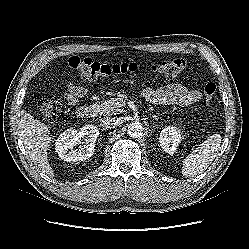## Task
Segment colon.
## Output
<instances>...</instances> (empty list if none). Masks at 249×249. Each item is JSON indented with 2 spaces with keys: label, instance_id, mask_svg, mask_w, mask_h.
Masks as SVG:
<instances>
[{
  "label": "colon",
  "instance_id": "obj_1",
  "mask_svg": "<svg viewBox=\"0 0 249 249\" xmlns=\"http://www.w3.org/2000/svg\"><path fill=\"white\" fill-rule=\"evenodd\" d=\"M68 64L84 79L94 81L114 75L136 74L144 71L152 72L166 79H172L186 68L187 61L183 58H175L146 66L137 62L106 64L89 57L72 56L68 59ZM216 89V84L213 82L204 86L203 92L208 104L212 103ZM38 105L42 115L49 122H55L62 110V103L58 100L41 99Z\"/></svg>",
  "mask_w": 249,
  "mask_h": 249
}]
</instances>
